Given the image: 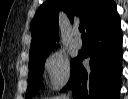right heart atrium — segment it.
Here are the masks:
<instances>
[{"mask_svg":"<svg viewBox=\"0 0 128 99\" xmlns=\"http://www.w3.org/2000/svg\"><path fill=\"white\" fill-rule=\"evenodd\" d=\"M45 70L49 76L51 86L61 89L70 79V62L65 53L54 51L45 60Z\"/></svg>","mask_w":128,"mask_h":99,"instance_id":"1","label":"right heart atrium"}]
</instances>
